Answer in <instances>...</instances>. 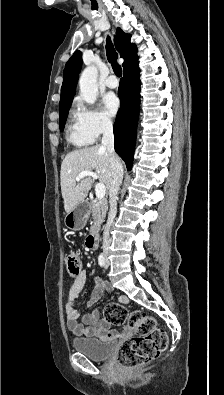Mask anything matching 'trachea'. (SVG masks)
Returning a JSON list of instances; mask_svg holds the SVG:
<instances>
[{
	"instance_id": "trachea-1",
	"label": "trachea",
	"mask_w": 224,
	"mask_h": 395,
	"mask_svg": "<svg viewBox=\"0 0 224 395\" xmlns=\"http://www.w3.org/2000/svg\"><path fill=\"white\" fill-rule=\"evenodd\" d=\"M106 53H107L108 61L111 63L112 68L114 70V73L116 74V76L121 77L122 68L117 63L118 54L115 52L109 37L107 38V43H106Z\"/></svg>"
}]
</instances>
